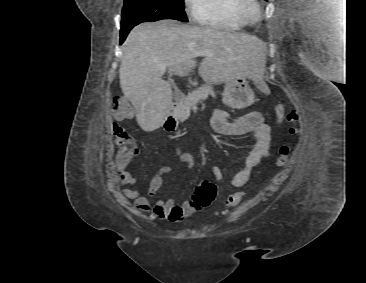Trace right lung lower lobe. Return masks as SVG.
<instances>
[{
	"instance_id": "obj_1",
	"label": "right lung lower lobe",
	"mask_w": 366,
	"mask_h": 283,
	"mask_svg": "<svg viewBox=\"0 0 366 283\" xmlns=\"http://www.w3.org/2000/svg\"><path fill=\"white\" fill-rule=\"evenodd\" d=\"M136 26V24H130V25H126V26H121V34H120V44L123 43V41L125 40L126 36L128 35L129 31Z\"/></svg>"
}]
</instances>
